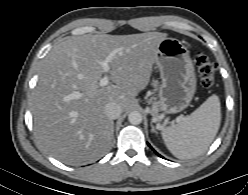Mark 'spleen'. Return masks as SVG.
<instances>
[{
    "label": "spleen",
    "instance_id": "obj_1",
    "mask_svg": "<svg viewBox=\"0 0 248 195\" xmlns=\"http://www.w3.org/2000/svg\"><path fill=\"white\" fill-rule=\"evenodd\" d=\"M220 123V100L217 95H212L189 116L163 129L161 135L175 157L193 159L207 151Z\"/></svg>",
    "mask_w": 248,
    "mask_h": 195
}]
</instances>
